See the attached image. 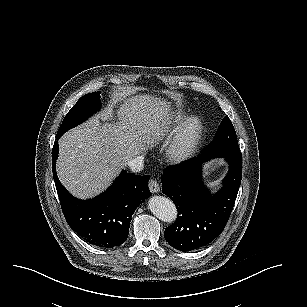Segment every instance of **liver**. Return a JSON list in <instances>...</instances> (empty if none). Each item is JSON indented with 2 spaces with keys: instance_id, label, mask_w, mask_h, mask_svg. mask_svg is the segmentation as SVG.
Returning a JSON list of instances; mask_svg holds the SVG:
<instances>
[{
  "instance_id": "liver-1",
  "label": "liver",
  "mask_w": 307,
  "mask_h": 307,
  "mask_svg": "<svg viewBox=\"0 0 307 307\" xmlns=\"http://www.w3.org/2000/svg\"><path fill=\"white\" fill-rule=\"evenodd\" d=\"M174 116V104L167 98L111 95L99 112L58 139V180L76 199L99 196L129 161L168 143Z\"/></svg>"
}]
</instances>
